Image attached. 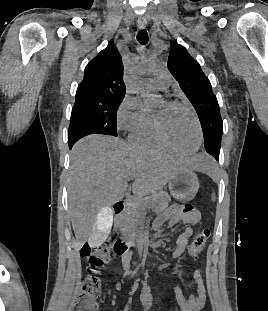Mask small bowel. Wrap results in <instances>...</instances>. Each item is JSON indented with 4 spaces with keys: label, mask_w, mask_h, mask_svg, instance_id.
Returning <instances> with one entry per match:
<instances>
[{
    "label": "small bowel",
    "mask_w": 268,
    "mask_h": 311,
    "mask_svg": "<svg viewBox=\"0 0 268 311\" xmlns=\"http://www.w3.org/2000/svg\"><path fill=\"white\" fill-rule=\"evenodd\" d=\"M200 220V214L193 209L191 205L185 207H173L168 210L163 216L155 220L153 227L155 230L161 229L163 226L172 227L177 223H182L185 228L183 232L177 237L176 249L172 256L174 259L179 258L186 250L190 238L193 236V226ZM132 258V251L128 250L122 254V265L126 274L130 273V261ZM193 280L197 285V293L192 294L186 299L180 288L176 287V300L181 311H200L206 304V288L203 274L200 270H195L193 273ZM120 289L121 285H117ZM141 303L145 310H150L152 305V295L148 287H144L141 292Z\"/></svg>",
    "instance_id": "obj_1"
}]
</instances>
